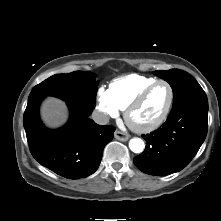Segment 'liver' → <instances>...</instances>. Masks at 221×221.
Returning a JSON list of instances; mask_svg holds the SVG:
<instances>
[{"mask_svg": "<svg viewBox=\"0 0 221 221\" xmlns=\"http://www.w3.org/2000/svg\"><path fill=\"white\" fill-rule=\"evenodd\" d=\"M41 118L49 128L62 126L68 119V109L65 102L48 97L41 106Z\"/></svg>", "mask_w": 221, "mask_h": 221, "instance_id": "obj_1", "label": "liver"}]
</instances>
